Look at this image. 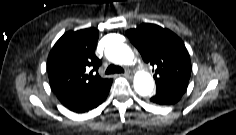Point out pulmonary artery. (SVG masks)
I'll use <instances>...</instances> for the list:
<instances>
[{
	"label": "pulmonary artery",
	"mask_w": 236,
	"mask_h": 135,
	"mask_svg": "<svg viewBox=\"0 0 236 135\" xmlns=\"http://www.w3.org/2000/svg\"><path fill=\"white\" fill-rule=\"evenodd\" d=\"M138 68H141V66H140V65H138Z\"/></svg>",
	"instance_id": "e3ab8cb5"
}]
</instances>
